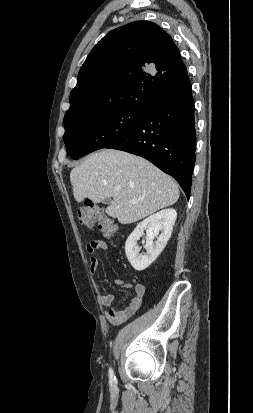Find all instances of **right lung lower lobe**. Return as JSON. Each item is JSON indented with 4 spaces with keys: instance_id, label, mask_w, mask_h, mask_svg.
I'll list each match as a JSON object with an SVG mask.
<instances>
[{
    "instance_id": "right-lung-lower-lobe-1",
    "label": "right lung lower lobe",
    "mask_w": 253,
    "mask_h": 413,
    "mask_svg": "<svg viewBox=\"0 0 253 413\" xmlns=\"http://www.w3.org/2000/svg\"><path fill=\"white\" fill-rule=\"evenodd\" d=\"M106 148L141 156L174 177L190 197L195 165V107L191 85L143 110L138 125Z\"/></svg>"
}]
</instances>
